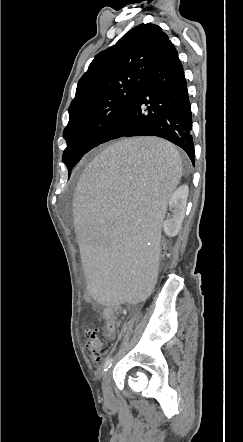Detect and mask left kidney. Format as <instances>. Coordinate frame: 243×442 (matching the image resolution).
<instances>
[{"label":"left kidney","mask_w":243,"mask_h":442,"mask_svg":"<svg viewBox=\"0 0 243 442\" xmlns=\"http://www.w3.org/2000/svg\"><path fill=\"white\" fill-rule=\"evenodd\" d=\"M188 187L181 186L171 195L166 205L172 210V216L163 222V230L169 237H175L185 217L187 205Z\"/></svg>","instance_id":"left-kidney-1"}]
</instances>
